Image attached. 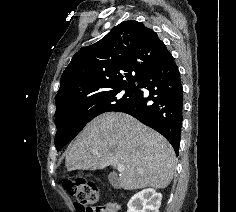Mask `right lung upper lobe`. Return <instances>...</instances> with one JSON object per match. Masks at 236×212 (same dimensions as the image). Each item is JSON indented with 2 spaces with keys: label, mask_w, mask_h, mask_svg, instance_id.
<instances>
[{
  "label": "right lung upper lobe",
  "mask_w": 236,
  "mask_h": 212,
  "mask_svg": "<svg viewBox=\"0 0 236 212\" xmlns=\"http://www.w3.org/2000/svg\"><path fill=\"white\" fill-rule=\"evenodd\" d=\"M166 49L158 35L143 23H120L73 56L60 79L56 111L97 93L135 85Z\"/></svg>",
  "instance_id": "right-lung-upper-lobe-1"
}]
</instances>
